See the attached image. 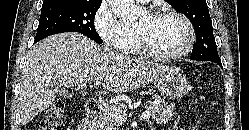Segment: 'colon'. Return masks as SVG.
Here are the masks:
<instances>
[{"label": "colon", "mask_w": 249, "mask_h": 130, "mask_svg": "<svg viewBox=\"0 0 249 130\" xmlns=\"http://www.w3.org/2000/svg\"><path fill=\"white\" fill-rule=\"evenodd\" d=\"M64 104L55 102L46 112L40 122L39 130H61L63 123Z\"/></svg>", "instance_id": "5ec220e1"}]
</instances>
